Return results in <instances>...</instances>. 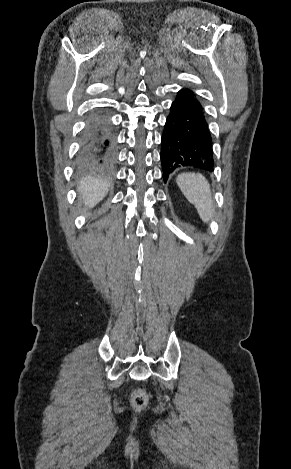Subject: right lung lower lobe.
Returning a JSON list of instances; mask_svg holds the SVG:
<instances>
[{
  "label": "right lung lower lobe",
  "instance_id": "1",
  "mask_svg": "<svg viewBox=\"0 0 291 469\" xmlns=\"http://www.w3.org/2000/svg\"><path fill=\"white\" fill-rule=\"evenodd\" d=\"M115 161V141L106 120L94 116L89 119L81 140L78 166L88 170L109 171Z\"/></svg>",
  "mask_w": 291,
  "mask_h": 469
}]
</instances>
